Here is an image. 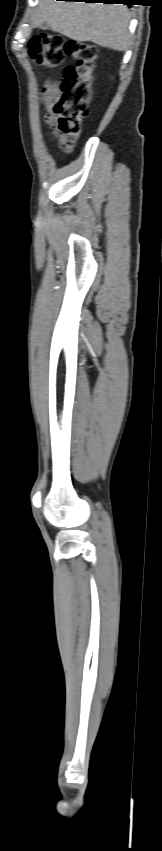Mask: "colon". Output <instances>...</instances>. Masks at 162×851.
Segmentation results:
<instances>
[{
	"instance_id": "1",
	"label": "colon",
	"mask_w": 162,
	"mask_h": 851,
	"mask_svg": "<svg viewBox=\"0 0 162 851\" xmlns=\"http://www.w3.org/2000/svg\"><path fill=\"white\" fill-rule=\"evenodd\" d=\"M28 53L37 63L61 65L66 56L75 61L63 72L61 95L54 106L57 129L76 143L88 113L90 81L98 56L96 46L81 41H65L59 34L43 33L28 42Z\"/></svg>"
}]
</instances>
